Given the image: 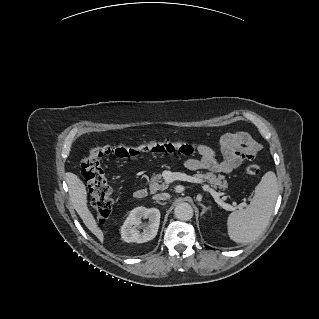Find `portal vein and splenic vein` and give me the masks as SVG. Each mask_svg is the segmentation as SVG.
<instances>
[{
	"label": "portal vein and splenic vein",
	"instance_id": "obj_1",
	"mask_svg": "<svg viewBox=\"0 0 319 319\" xmlns=\"http://www.w3.org/2000/svg\"><path fill=\"white\" fill-rule=\"evenodd\" d=\"M164 180L166 184L172 183L175 180H183V181H188V182H202L201 180H199L196 177H192L189 175H186L184 173H177V172H167L164 176ZM206 190H208L211 195L214 197L215 201L220 204L223 208H225L226 210H232L233 206L224 203L221 199L220 196L222 195V193L216 192L215 190H213L210 187H206ZM244 207V204H239L238 208L242 209Z\"/></svg>",
	"mask_w": 319,
	"mask_h": 319
}]
</instances>
